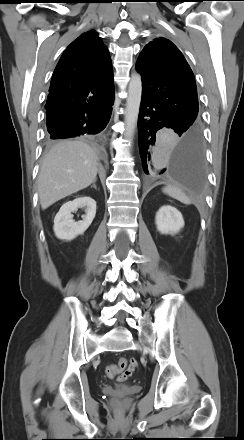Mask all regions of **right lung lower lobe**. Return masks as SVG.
<instances>
[{"label":"right lung lower lobe","instance_id":"right-lung-lower-lobe-1","mask_svg":"<svg viewBox=\"0 0 244 440\" xmlns=\"http://www.w3.org/2000/svg\"><path fill=\"white\" fill-rule=\"evenodd\" d=\"M113 103L114 95L102 107L90 112L47 116V130L50 138H69L84 134L95 135L101 132L109 122Z\"/></svg>","mask_w":244,"mask_h":440}]
</instances>
